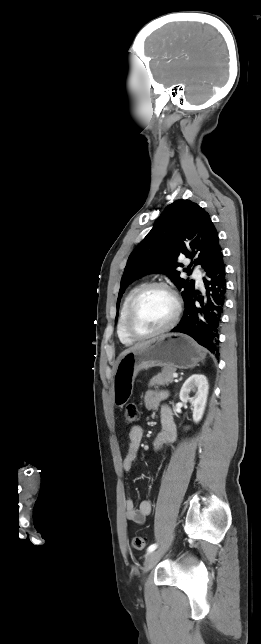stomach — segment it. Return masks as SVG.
Masks as SVG:
<instances>
[{"instance_id":"1","label":"stomach","mask_w":261,"mask_h":644,"mask_svg":"<svg viewBox=\"0 0 261 644\" xmlns=\"http://www.w3.org/2000/svg\"><path fill=\"white\" fill-rule=\"evenodd\" d=\"M205 357L204 350L183 334H165L147 346L121 357L113 378L112 395L117 407H123L133 394L134 381L141 370L152 367L189 369Z\"/></svg>"}]
</instances>
